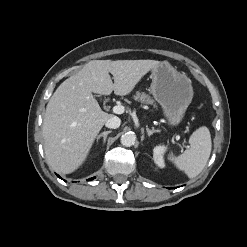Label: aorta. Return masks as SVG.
Here are the masks:
<instances>
[{
	"mask_svg": "<svg viewBox=\"0 0 247 247\" xmlns=\"http://www.w3.org/2000/svg\"><path fill=\"white\" fill-rule=\"evenodd\" d=\"M120 141L123 146H133L136 142V135L133 132H126L121 136Z\"/></svg>",
	"mask_w": 247,
	"mask_h": 247,
	"instance_id": "obj_1",
	"label": "aorta"
}]
</instances>
